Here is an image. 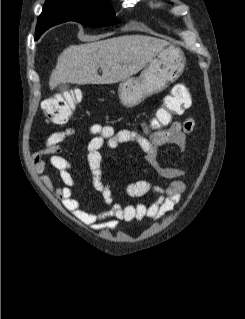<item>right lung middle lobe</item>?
Here are the masks:
<instances>
[{
	"instance_id": "dd1d6c3e",
	"label": "right lung middle lobe",
	"mask_w": 245,
	"mask_h": 319,
	"mask_svg": "<svg viewBox=\"0 0 245 319\" xmlns=\"http://www.w3.org/2000/svg\"><path fill=\"white\" fill-rule=\"evenodd\" d=\"M49 8L51 18L57 24L72 20L92 27H103L114 23L115 14L110 0H55L49 2L43 10ZM47 29H41L38 25L36 28L40 35Z\"/></svg>"
}]
</instances>
